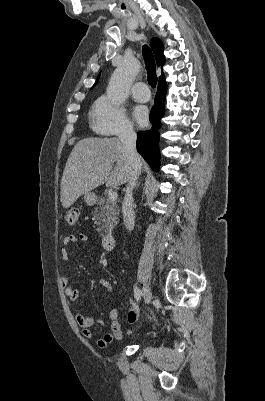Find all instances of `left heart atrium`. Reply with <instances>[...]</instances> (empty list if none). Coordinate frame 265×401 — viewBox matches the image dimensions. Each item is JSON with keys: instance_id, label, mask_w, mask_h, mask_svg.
Listing matches in <instances>:
<instances>
[{"instance_id": "1", "label": "left heart atrium", "mask_w": 265, "mask_h": 401, "mask_svg": "<svg viewBox=\"0 0 265 401\" xmlns=\"http://www.w3.org/2000/svg\"><path fill=\"white\" fill-rule=\"evenodd\" d=\"M133 117L138 124L142 125L147 122L148 119V109L142 105H135L133 107Z\"/></svg>"}]
</instances>
